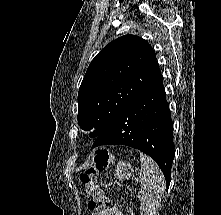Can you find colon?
Segmentation results:
<instances>
[{"mask_svg":"<svg viewBox=\"0 0 221 215\" xmlns=\"http://www.w3.org/2000/svg\"><path fill=\"white\" fill-rule=\"evenodd\" d=\"M112 161L111 155L106 149H96L93 152V161L81 174V182L86 188L90 198L88 208L92 212H101L109 207V200L102 193L98 182V173L107 168Z\"/></svg>","mask_w":221,"mask_h":215,"instance_id":"1","label":"colon"}]
</instances>
